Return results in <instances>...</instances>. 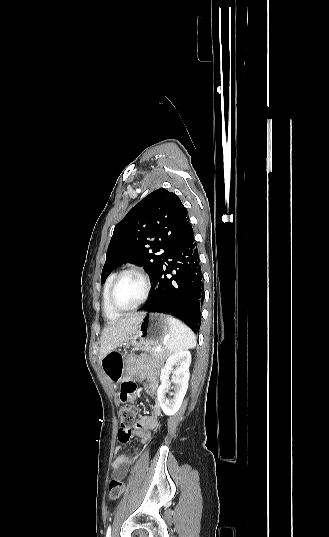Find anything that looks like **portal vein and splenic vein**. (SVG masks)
<instances>
[{
	"instance_id": "portal-vein-and-splenic-vein-1",
	"label": "portal vein and splenic vein",
	"mask_w": 329,
	"mask_h": 537,
	"mask_svg": "<svg viewBox=\"0 0 329 537\" xmlns=\"http://www.w3.org/2000/svg\"><path fill=\"white\" fill-rule=\"evenodd\" d=\"M155 350H156L157 352H159V351L162 350V347H161V346H157V347L155 348Z\"/></svg>"
}]
</instances>
